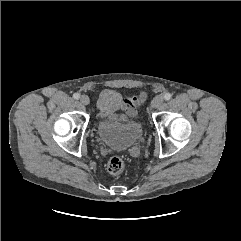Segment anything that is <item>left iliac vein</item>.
<instances>
[{"label":"left iliac vein","mask_w":241,"mask_h":241,"mask_svg":"<svg viewBox=\"0 0 241 241\" xmlns=\"http://www.w3.org/2000/svg\"><path fill=\"white\" fill-rule=\"evenodd\" d=\"M163 97L161 95L156 96L152 102H151V107L152 108H157L163 103Z\"/></svg>","instance_id":"1"}]
</instances>
